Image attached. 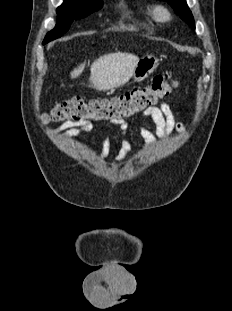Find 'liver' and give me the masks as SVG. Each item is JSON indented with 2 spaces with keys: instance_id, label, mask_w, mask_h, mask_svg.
Segmentation results:
<instances>
[{
  "instance_id": "obj_1",
  "label": "liver",
  "mask_w": 232,
  "mask_h": 311,
  "mask_svg": "<svg viewBox=\"0 0 232 311\" xmlns=\"http://www.w3.org/2000/svg\"><path fill=\"white\" fill-rule=\"evenodd\" d=\"M138 57L130 53H111L99 57L90 67L89 81L98 91H107L123 86L133 75ZM84 70L81 64L71 72V78H77Z\"/></svg>"
}]
</instances>
